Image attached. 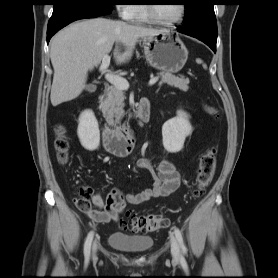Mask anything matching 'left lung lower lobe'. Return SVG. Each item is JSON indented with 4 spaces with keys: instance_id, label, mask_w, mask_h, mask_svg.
Instances as JSON below:
<instances>
[{
    "instance_id": "left-lung-lower-lobe-1",
    "label": "left lung lower lobe",
    "mask_w": 278,
    "mask_h": 278,
    "mask_svg": "<svg viewBox=\"0 0 278 278\" xmlns=\"http://www.w3.org/2000/svg\"><path fill=\"white\" fill-rule=\"evenodd\" d=\"M178 31L203 41L214 52H216L217 36L212 35L203 24L184 25L183 27L178 28Z\"/></svg>"
}]
</instances>
